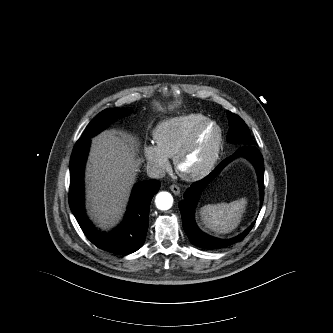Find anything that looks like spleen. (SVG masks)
<instances>
[{
    "label": "spleen",
    "mask_w": 333,
    "mask_h": 333,
    "mask_svg": "<svg viewBox=\"0 0 333 333\" xmlns=\"http://www.w3.org/2000/svg\"><path fill=\"white\" fill-rule=\"evenodd\" d=\"M246 204L245 198L230 203L208 204L203 206L199 213L205 227L216 234H226L238 227Z\"/></svg>",
    "instance_id": "1"
}]
</instances>
